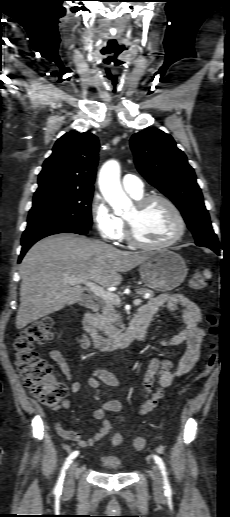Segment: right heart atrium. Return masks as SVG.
Wrapping results in <instances>:
<instances>
[{"label": "right heart atrium", "instance_id": "1", "mask_svg": "<svg viewBox=\"0 0 230 517\" xmlns=\"http://www.w3.org/2000/svg\"><path fill=\"white\" fill-rule=\"evenodd\" d=\"M91 214L99 235L106 241H116L120 238L124 225L106 201L96 197L92 201Z\"/></svg>", "mask_w": 230, "mask_h": 517}]
</instances>
